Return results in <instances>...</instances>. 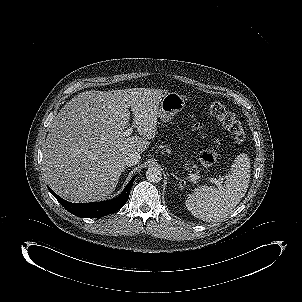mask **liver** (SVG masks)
Segmentation results:
<instances>
[{
    "mask_svg": "<svg viewBox=\"0 0 302 302\" xmlns=\"http://www.w3.org/2000/svg\"><path fill=\"white\" fill-rule=\"evenodd\" d=\"M163 90L132 88L86 91L67 102L54 118L43 151L50 187L75 203L100 201L115 190L129 152H144L157 131ZM141 136L124 137L129 127Z\"/></svg>",
    "mask_w": 302,
    "mask_h": 302,
    "instance_id": "6515ba94",
    "label": "liver"
}]
</instances>
